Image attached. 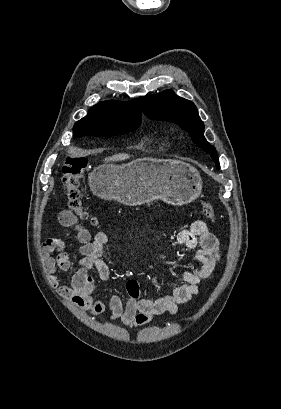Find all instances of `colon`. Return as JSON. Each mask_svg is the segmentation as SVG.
<instances>
[{"label":"colon","instance_id":"1","mask_svg":"<svg viewBox=\"0 0 281 409\" xmlns=\"http://www.w3.org/2000/svg\"><path fill=\"white\" fill-rule=\"evenodd\" d=\"M88 166L85 156L67 154L62 167L63 192L67 207L80 219H86L88 213L82 201L81 181ZM202 212L208 219H215V212L207 202H202Z\"/></svg>","mask_w":281,"mask_h":409}]
</instances>
